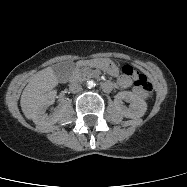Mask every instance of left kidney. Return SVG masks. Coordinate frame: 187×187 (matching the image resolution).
I'll return each mask as SVG.
<instances>
[{
    "label": "left kidney",
    "mask_w": 187,
    "mask_h": 187,
    "mask_svg": "<svg viewBox=\"0 0 187 187\" xmlns=\"http://www.w3.org/2000/svg\"><path fill=\"white\" fill-rule=\"evenodd\" d=\"M122 100L130 102L129 109L123 105ZM114 103L120 114L126 118L142 117L147 110L146 102L139 96L129 91L119 92L115 96Z\"/></svg>",
    "instance_id": "left-kidney-1"
}]
</instances>
